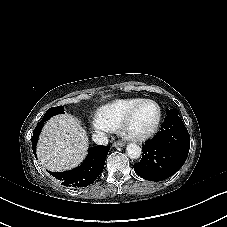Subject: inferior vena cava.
Masks as SVG:
<instances>
[{"mask_svg": "<svg viewBox=\"0 0 227 227\" xmlns=\"http://www.w3.org/2000/svg\"><path fill=\"white\" fill-rule=\"evenodd\" d=\"M92 139L98 145H107L108 144V137L102 132L93 134Z\"/></svg>", "mask_w": 227, "mask_h": 227, "instance_id": "obj_1", "label": "inferior vena cava"}]
</instances>
